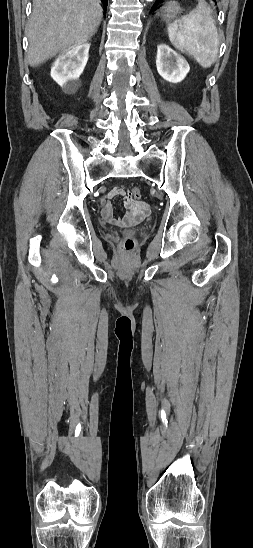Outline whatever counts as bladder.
I'll list each match as a JSON object with an SVG mask.
<instances>
[{"label": "bladder", "instance_id": "obj_1", "mask_svg": "<svg viewBox=\"0 0 253 548\" xmlns=\"http://www.w3.org/2000/svg\"><path fill=\"white\" fill-rule=\"evenodd\" d=\"M131 234H134V231H130Z\"/></svg>", "mask_w": 253, "mask_h": 548}]
</instances>
